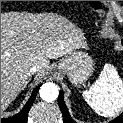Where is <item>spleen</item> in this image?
I'll return each instance as SVG.
<instances>
[{
  "mask_svg": "<svg viewBox=\"0 0 123 123\" xmlns=\"http://www.w3.org/2000/svg\"><path fill=\"white\" fill-rule=\"evenodd\" d=\"M87 104L100 116L113 117L123 109V83L116 69L105 64L98 79L82 91Z\"/></svg>",
  "mask_w": 123,
  "mask_h": 123,
  "instance_id": "1",
  "label": "spleen"
}]
</instances>
